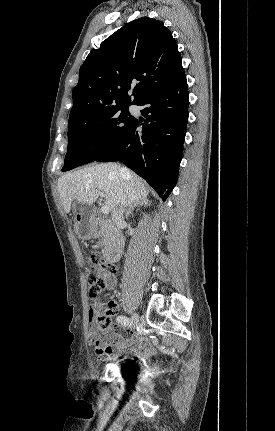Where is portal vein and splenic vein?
I'll use <instances>...</instances> for the list:
<instances>
[{"label":"portal vein and splenic vein","mask_w":275,"mask_h":431,"mask_svg":"<svg viewBox=\"0 0 275 431\" xmlns=\"http://www.w3.org/2000/svg\"><path fill=\"white\" fill-rule=\"evenodd\" d=\"M98 194H99L101 197H103V196H104V194H103L101 191H98ZM101 211H102V213H103V214H108V213H109V211H110V208H109V206H108V205H103V206L101 207Z\"/></svg>","instance_id":"1"}]
</instances>
